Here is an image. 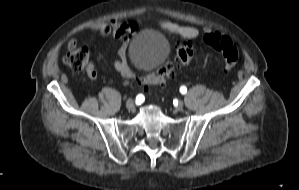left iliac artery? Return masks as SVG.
Listing matches in <instances>:
<instances>
[{"instance_id":"obj_1","label":"left iliac artery","mask_w":299,"mask_h":190,"mask_svg":"<svg viewBox=\"0 0 299 190\" xmlns=\"http://www.w3.org/2000/svg\"><path fill=\"white\" fill-rule=\"evenodd\" d=\"M180 92H181L182 94H186V92H187V88H186L185 86H181V87H180Z\"/></svg>"}]
</instances>
